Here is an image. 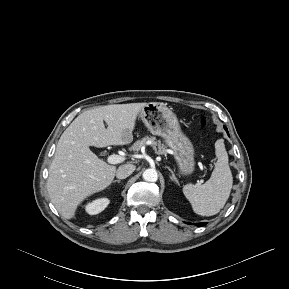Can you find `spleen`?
<instances>
[{
    "label": "spleen",
    "instance_id": "obj_1",
    "mask_svg": "<svg viewBox=\"0 0 289 289\" xmlns=\"http://www.w3.org/2000/svg\"><path fill=\"white\" fill-rule=\"evenodd\" d=\"M215 149L217 161L210 179L203 185L187 184L183 187V193L194 212L201 216L217 214L224 207L232 189L233 177L223 141L218 140Z\"/></svg>",
    "mask_w": 289,
    "mask_h": 289
}]
</instances>
